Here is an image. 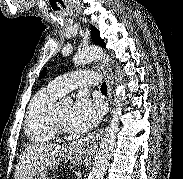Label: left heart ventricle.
<instances>
[{"mask_svg": "<svg viewBox=\"0 0 183 179\" xmlns=\"http://www.w3.org/2000/svg\"><path fill=\"white\" fill-rule=\"evenodd\" d=\"M71 110L72 107L70 105H63L57 108L59 119L68 130H70L69 117L71 114Z\"/></svg>", "mask_w": 183, "mask_h": 179, "instance_id": "1", "label": "left heart ventricle"}]
</instances>
